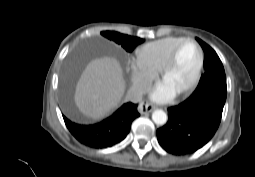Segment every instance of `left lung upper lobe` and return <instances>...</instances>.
I'll return each instance as SVG.
<instances>
[{
    "label": "left lung upper lobe",
    "mask_w": 255,
    "mask_h": 177,
    "mask_svg": "<svg viewBox=\"0 0 255 177\" xmlns=\"http://www.w3.org/2000/svg\"><path fill=\"white\" fill-rule=\"evenodd\" d=\"M196 40L200 43L204 51V69L200 82L193 94H199L209 90H216L227 94L226 76L224 67L216 52L199 38Z\"/></svg>",
    "instance_id": "left-lung-upper-lobe-1"
}]
</instances>
